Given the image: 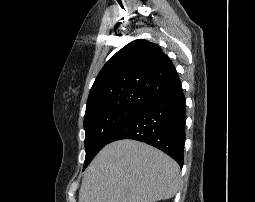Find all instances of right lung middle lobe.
<instances>
[{"instance_id": "right-lung-middle-lobe-1", "label": "right lung middle lobe", "mask_w": 255, "mask_h": 202, "mask_svg": "<svg viewBox=\"0 0 255 202\" xmlns=\"http://www.w3.org/2000/svg\"><path fill=\"white\" fill-rule=\"evenodd\" d=\"M139 108L120 107L99 111L85 116L84 129L86 158L83 170L95 155L109 143L110 138L125 124Z\"/></svg>"}]
</instances>
